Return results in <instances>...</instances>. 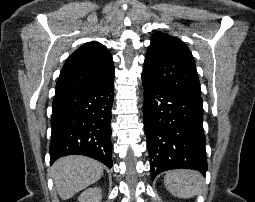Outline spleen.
Returning a JSON list of instances; mask_svg holds the SVG:
<instances>
[{"label": "spleen", "instance_id": "3e777b00", "mask_svg": "<svg viewBox=\"0 0 255 202\" xmlns=\"http://www.w3.org/2000/svg\"><path fill=\"white\" fill-rule=\"evenodd\" d=\"M164 184L167 190L179 198H191L204 189L202 176L191 170H172L166 173Z\"/></svg>", "mask_w": 255, "mask_h": 202}]
</instances>
